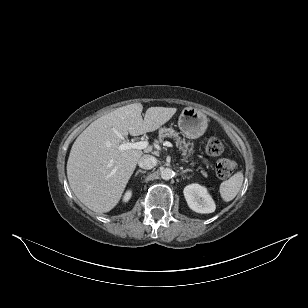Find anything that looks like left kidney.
Listing matches in <instances>:
<instances>
[{
  "label": "left kidney",
  "instance_id": "obj_1",
  "mask_svg": "<svg viewBox=\"0 0 308 308\" xmlns=\"http://www.w3.org/2000/svg\"><path fill=\"white\" fill-rule=\"evenodd\" d=\"M183 193L188 206L193 211L203 214L215 211V203L205 187L199 184H190L184 188Z\"/></svg>",
  "mask_w": 308,
  "mask_h": 308
}]
</instances>
